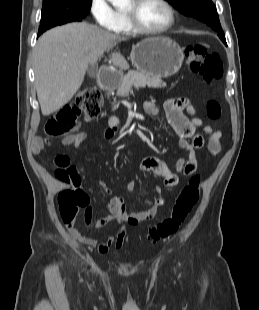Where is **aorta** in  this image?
Instances as JSON below:
<instances>
[{"label": "aorta", "instance_id": "762f6f07", "mask_svg": "<svg viewBox=\"0 0 259 310\" xmlns=\"http://www.w3.org/2000/svg\"><path fill=\"white\" fill-rule=\"evenodd\" d=\"M114 7L121 8L128 4L129 0H108Z\"/></svg>", "mask_w": 259, "mask_h": 310}]
</instances>
